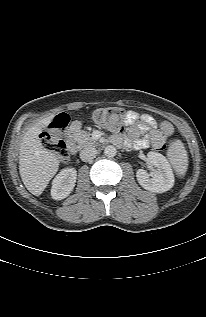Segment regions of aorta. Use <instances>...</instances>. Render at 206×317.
<instances>
[{
    "instance_id": "aorta-1",
    "label": "aorta",
    "mask_w": 206,
    "mask_h": 317,
    "mask_svg": "<svg viewBox=\"0 0 206 317\" xmlns=\"http://www.w3.org/2000/svg\"><path fill=\"white\" fill-rule=\"evenodd\" d=\"M116 153H117V149L112 145L106 146L104 149V154L107 157H114Z\"/></svg>"
}]
</instances>
